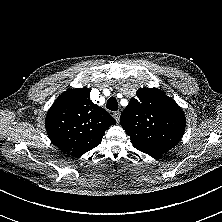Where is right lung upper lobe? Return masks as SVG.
Returning <instances> with one entry per match:
<instances>
[{
	"label": "right lung upper lobe",
	"instance_id": "obj_1",
	"mask_svg": "<svg viewBox=\"0 0 222 222\" xmlns=\"http://www.w3.org/2000/svg\"><path fill=\"white\" fill-rule=\"evenodd\" d=\"M115 119L90 100V89H68L49 109L45 124L52 143L61 151L78 156L101 143Z\"/></svg>",
	"mask_w": 222,
	"mask_h": 222
}]
</instances>
